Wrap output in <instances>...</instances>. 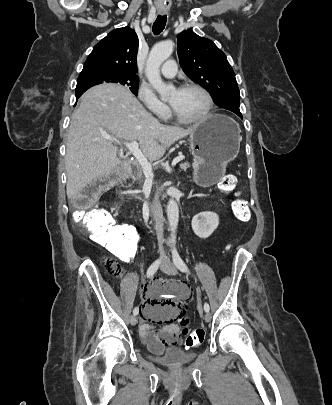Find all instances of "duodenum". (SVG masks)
<instances>
[{
  "label": "duodenum",
  "mask_w": 332,
  "mask_h": 405,
  "mask_svg": "<svg viewBox=\"0 0 332 405\" xmlns=\"http://www.w3.org/2000/svg\"><path fill=\"white\" fill-rule=\"evenodd\" d=\"M133 171H135V167L134 166H132L130 169H128V170H125V171H123L121 174H120V177L122 178V179H128L130 176H131V173L133 172Z\"/></svg>",
  "instance_id": "obj_1"
}]
</instances>
